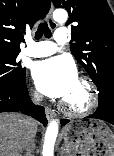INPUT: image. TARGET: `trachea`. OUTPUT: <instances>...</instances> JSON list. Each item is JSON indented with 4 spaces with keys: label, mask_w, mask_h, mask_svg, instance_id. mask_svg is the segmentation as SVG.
Returning a JSON list of instances; mask_svg holds the SVG:
<instances>
[{
    "label": "trachea",
    "mask_w": 114,
    "mask_h": 156,
    "mask_svg": "<svg viewBox=\"0 0 114 156\" xmlns=\"http://www.w3.org/2000/svg\"><path fill=\"white\" fill-rule=\"evenodd\" d=\"M46 38H50L52 36L51 31L46 22H42L39 24L38 29L35 33V39H40L42 36Z\"/></svg>",
    "instance_id": "1"
}]
</instances>
